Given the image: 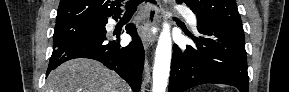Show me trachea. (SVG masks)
<instances>
[{
    "mask_svg": "<svg viewBox=\"0 0 289 92\" xmlns=\"http://www.w3.org/2000/svg\"><path fill=\"white\" fill-rule=\"evenodd\" d=\"M141 0H130L126 3V12H134L136 10V7L141 3ZM152 4H156V1L150 0L149 1Z\"/></svg>",
    "mask_w": 289,
    "mask_h": 92,
    "instance_id": "obj_1",
    "label": "trachea"
}]
</instances>
